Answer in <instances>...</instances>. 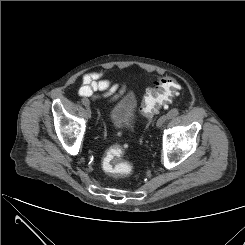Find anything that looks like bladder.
I'll return each instance as SVG.
<instances>
[{"instance_id":"1","label":"bladder","mask_w":245,"mask_h":245,"mask_svg":"<svg viewBox=\"0 0 245 245\" xmlns=\"http://www.w3.org/2000/svg\"><path fill=\"white\" fill-rule=\"evenodd\" d=\"M138 100L134 92L124 91L114 101L109 112L111 124L120 130H129L137 111Z\"/></svg>"}]
</instances>
